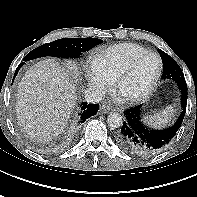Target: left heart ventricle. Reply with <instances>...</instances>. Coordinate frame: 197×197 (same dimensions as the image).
Segmentation results:
<instances>
[{
    "instance_id": "b2bd125f",
    "label": "left heart ventricle",
    "mask_w": 197,
    "mask_h": 197,
    "mask_svg": "<svg viewBox=\"0 0 197 197\" xmlns=\"http://www.w3.org/2000/svg\"><path fill=\"white\" fill-rule=\"evenodd\" d=\"M158 70V60L154 56L141 59L132 73L122 84L120 93L124 96H134L142 93L150 85Z\"/></svg>"
}]
</instances>
